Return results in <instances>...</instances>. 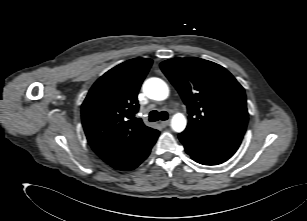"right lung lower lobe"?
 <instances>
[{"mask_svg": "<svg viewBox=\"0 0 307 221\" xmlns=\"http://www.w3.org/2000/svg\"><path fill=\"white\" fill-rule=\"evenodd\" d=\"M158 136H159V132L156 131L151 136V138L148 141H146L144 145H142L138 150L133 152L124 161L116 165H113L112 167L117 170H124V171L135 169L140 163H142L147 158Z\"/></svg>", "mask_w": 307, "mask_h": 221, "instance_id": "obj_1", "label": "right lung lower lobe"}]
</instances>
